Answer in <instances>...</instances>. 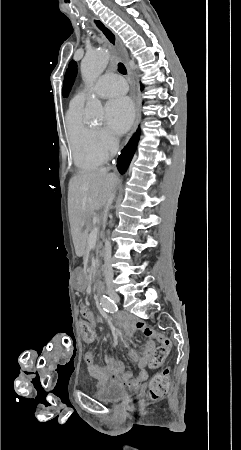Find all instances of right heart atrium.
<instances>
[{
    "mask_svg": "<svg viewBox=\"0 0 241 450\" xmlns=\"http://www.w3.org/2000/svg\"><path fill=\"white\" fill-rule=\"evenodd\" d=\"M95 135L99 136V139L101 141L102 144L108 146V147H115L116 145V140L111 137L109 134L107 135V138L105 140H102L100 138V135L98 131H94ZM104 145L101 146L100 150L105 154V155H109L110 153H112V151L110 149H108L107 147H105Z\"/></svg>",
    "mask_w": 241,
    "mask_h": 450,
    "instance_id": "1",
    "label": "right heart atrium"
}]
</instances>
